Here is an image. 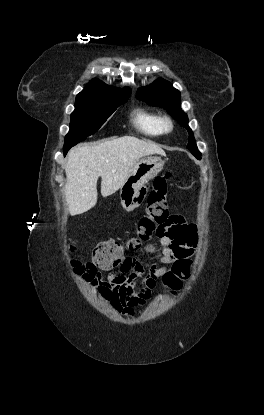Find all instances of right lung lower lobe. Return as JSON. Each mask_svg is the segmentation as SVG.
Here are the masks:
<instances>
[{"instance_id":"1","label":"right lung lower lobe","mask_w":264,"mask_h":415,"mask_svg":"<svg viewBox=\"0 0 264 415\" xmlns=\"http://www.w3.org/2000/svg\"><path fill=\"white\" fill-rule=\"evenodd\" d=\"M67 152H68V150H65V151H64V155H66V153H67Z\"/></svg>"}]
</instances>
